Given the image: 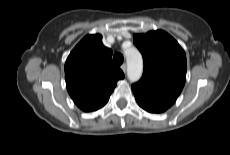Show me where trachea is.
Segmentation results:
<instances>
[{
    "instance_id": "obj_1",
    "label": "trachea",
    "mask_w": 230,
    "mask_h": 155,
    "mask_svg": "<svg viewBox=\"0 0 230 155\" xmlns=\"http://www.w3.org/2000/svg\"><path fill=\"white\" fill-rule=\"evenodd\" d=\"M113 60L116 65H121L123 63V55L121 53H115L113 56Z\"/></svg>"
}]
</instances>
